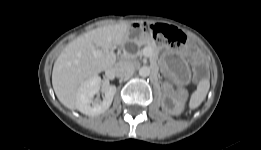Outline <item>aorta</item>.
Masks as SVG:
<instances>
[{
  "instance_id": "obj_1",
  "label": "aorta",
  "mask_w": 261,
  "mask_h": 150,
  "mask_svg": "<svg viewBox=\"0 0 261 150\" xmlns=\"http://www.w3.org/2000/svg\"><path fill=\"white\" fill-rule=\"evenodd\" d=\"M151 73H152V69L150 67L143 66L139 69V75L141 77H147L151 75Z\"/></svg>"
}]
</instances>
